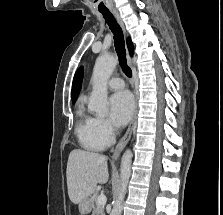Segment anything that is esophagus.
<instances>
[{
    "instance_id": "34e87169",
    "label": "esophagus",
    "mask_w": 223,
    "mask_h": 215,
    "mask_svg": "<svg viewBox=\"0 0 223 215\" xmlns=\"http://www.w3.org/2000/svg\"><path fill=\"white\" fill-rule=\"evenodd\" d=\"M112 12L116 16L120 26L122 27V29H123V31L125 33L124 24H123L122 19L120 18L119 14H118V12L115 9H112ZM127 59H128V63L130 65H132V60H131V57H130L129 54H127ZM137 113H138V93L135 94L134 113H133V116L131 118L129 127H128L127 131L125 132V135L122 137L120 142L115 147V150H114V153H113V156H112L113 162H115L117 160V158L119 157L121 151L123 150V148L125 147V145L129 142V140L131 138Z\"/></svg>"
}]
</instances>
